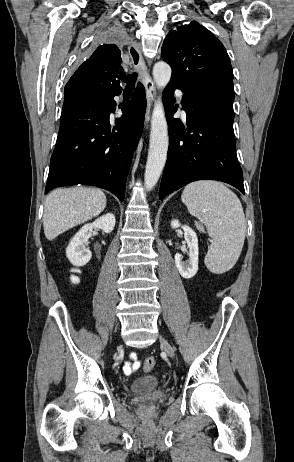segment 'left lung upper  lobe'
Instances as JSON below:
<instances>
[{
    "label": "left lung upper lobe",
    "mask_w": 294,
    "mask_h": 462,
    "mask_svg": "<svg viewBox=\"0 0 294 462\" xmlns=\"http://www.w3.org/2000/svg\"><path fill=\"white\" fill-rule=\"evenodd\" d=\"M161 55L172 67L170 82L184 91L222 88L234 92L233 71L223 44L197 22L170 31Z\"/></svg>",
    "instance_id": "obj_1"
}]
</instances>
